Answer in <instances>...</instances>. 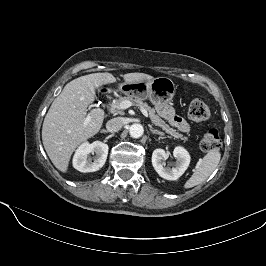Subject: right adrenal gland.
I'll list each match as a JSON object with an SVG mask.
<instances>
[{"label":"right adrenal gland","instance_id":"2a0ac1e0","mask_svg":"<svg viewBox=\"0 0 266 266\" xmlns=\"http://www.w3.org/2000/svg\"><path fill=\"white\" fill-rule=\"evenodd\" d=\"M101 132L102 133H108V131L107 130H104V129H102Z\"/></svg>","mask_w":266,"mask_h":266}]
</instances>
